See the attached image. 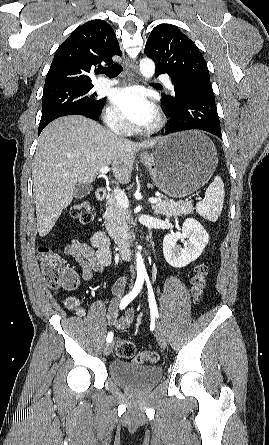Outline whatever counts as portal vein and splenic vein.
I'll use <instances>...</instances> for the list:
<instances>
[{"label": "portal vein and splenic vein", "mask_w": 269, "mask_h": 445, "mask_svg": "<svg viewBox=\"0 0 269 445\" xmlns=\"http://www.w3.org/2000/svg\"><path fill=\"white\" fill-rule=\"evenodd\" d=\"M109 167L108 166H103L100 170H99V172H100V174L101 175H105V174H107L108 172H109ZM114 194L116 195V198H117V201L119 202V204L122 206V207H124V208H128V206H129V200H128V197L126 196V194L122 191V190H120V189H118V188H116L115 190H114ZM198 199H200V198H198ZM149 202L151 203V204H156V203H158V199L157 198H150L149 199Z\"/></svg>", "instance_id": "obj_1"}]
</instances>
